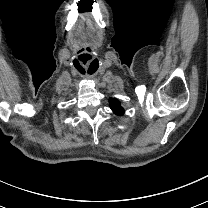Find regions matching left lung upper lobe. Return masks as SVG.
<instances>
[{
    "label": "left lung upper lobe",
    "mask_w": 208,
    "mask_h": 208,
    "mask_svg": "<svg viewBox=\"0 0 208 208\" xmlns=\"http://www.w3.org/2000/svg\"><path fill=\"white\" fill-rule=\"evenodd\" d=\"M110 108L118 115H122L124 113V109L121 107V104L117 99L110 100Z\"/></svg>",
    "instance_id": "left-lung-upper-lobe-1"
}]
</instances>
